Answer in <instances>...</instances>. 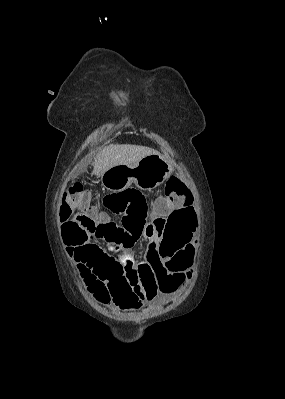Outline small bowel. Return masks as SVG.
Listing matches in <instances>:
<instances>
[{
    "label": "small bowel",
    "instance_id": "1",
    "mask_svg": "<svg viewBox=\"0 0 285 399\" xmlns=\"http://www.w3.org/2000/svg\"><path fill=\"white\" fill-rule=\"evenodd\" d=\"M185 198H186L185 196L181 197L180 203H183ZM172 211H173L172 207H167L163 210L154 209L151 211L152 221L150 224H148L145 227L144 230V237L151 242V247L145 254L146 259H149L151 253L156 250L157 244L161 239V234L158 232V224L166 222L167 221L166 214H168L169 216L172 213ZM195 221L196 220L193 218L183 224L173 225L168 231V238L171 240L179 239L181 237L185 238L186 241L183 246V251H184V256L189 261V264H191L192 261L194 260L195 247L197 242L196 238L197 234H196V229L194 227ZM67 248H68V253L70 255H72L74 252L76 253L75 247L70 246ZM82 263L83 262L79 258L76 266L79 267L82 265ZM102 267L106 273L114 275L118 283L131 282L137 277V271L134 266H128L127 268L126 266L121 265L117 260L107 256L103 260ZM189 275H190L189 270H185V271L175 272L164 277L159 282L158 294L152 297L151 299L145 297L143 299L140 298L139 302H137L135 306H130V307L123 306L122 304L116 301L115 297L108 290L106 292V300H104L97 291L92 292L91 296L95 300H97L100 304L103 305L107 306L113 305L122 309L138 310L144 306L145 302L150 300L152 301L156 297H159V299L163 301H168V299L175 297L188 281ZM142 293L143 295H145L143 289Z\"/></svg>",
    "mask_w": 285,
    "mask_h": 399
}]
</instances>
